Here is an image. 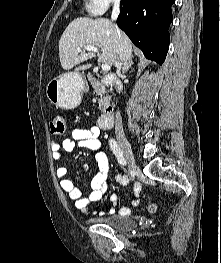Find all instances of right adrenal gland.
<instances>
[{
  "label": "right adrenal gland",
  "instance_id": "2a0ac1e0",
  "mask_svg": "<svg viewBox=\"0 0 221 263\" xmlns=\"http://www.w3.org/2000/svg\"><path fill=\"white\" fill-rule=\"evenodd\" d=\"M133 64L134 62L132 60H128L124 62L122 66V73L124 74L125 72H127L132 67Z\"/></svg>",
  "mask_w": 221,
  "mask_h": 263
}]
</instances>
